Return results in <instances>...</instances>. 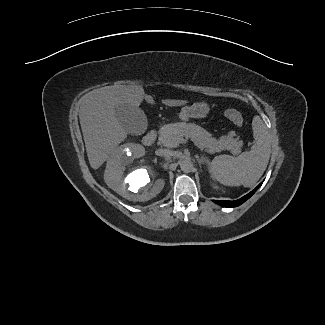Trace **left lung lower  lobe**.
I'll return each mask as SVG.
<instances>
[{"label":"left lung lower lobe","instance_id":"obj_1","mask_svg":"<svg viewBox=\"0 0 325 325\" xmlns=\"http://www.w3.org/2000/svg\"><path fill=\"white\" fill-rule=\"evenodd\" d=\"M262 183H260L254 190H252L247 195L243 196L242 198L235 200V201H225V200H213L216 204L224 206V207H237L244 203L247 199H249L256 190L261 186Z\"/></svg>","mask_w":325,"mask_h":325}]
</instances>
